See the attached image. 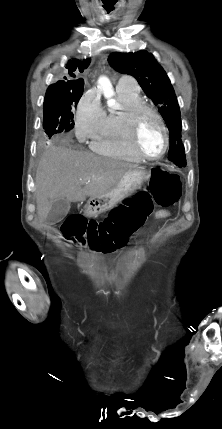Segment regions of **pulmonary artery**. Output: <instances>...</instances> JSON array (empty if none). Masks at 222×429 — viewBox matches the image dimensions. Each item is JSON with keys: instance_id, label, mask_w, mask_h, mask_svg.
<instances>
[{"instance_id": "e3ab8cb5", "label": "pulmonary artery", "mask_w": 222, "mask_h": 429, "mask_svg": "<svg viewBox=\"0 0 222 429\" xmlns=\"http://www.w3.org/2000/svg\"><path fill=\"white\" fill-rule=\"evenodd\" d=\"M117 89L138 91V86L129 77H122L117 83Z\"/></svg>"}]
</instances>
